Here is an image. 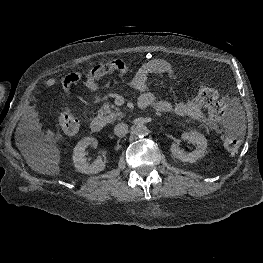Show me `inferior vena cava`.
<instances>
[{"instance_id":"obj_1","label":"inferior vena cava","mask_w":263,"mask_h":263,"mask_svg":"<svg viewBox=\"0 0 263 263\" xmlns=\"http://www.w3.org/2000/svg\"><path fill=\"white\" fill-rule=\"evenodd\" d=\"M114 133L118 137H123L128 133V125L125 123H119L114 128Z\"/></svg>"}]
</instances>
